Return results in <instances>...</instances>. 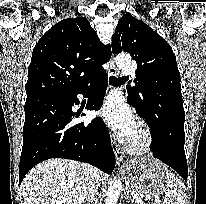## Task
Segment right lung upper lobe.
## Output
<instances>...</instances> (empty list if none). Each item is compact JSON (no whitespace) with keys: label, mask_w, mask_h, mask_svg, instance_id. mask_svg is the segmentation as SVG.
I'll return each mask as SVG.
<instances>
[{"label":"right lung upper lobe","mask_w":206,"mask_h":204,"mask_svg":"<svg viewBox=\"0 0 206 204\" xmlns=\"http://www.w3.org/2000/svg\"><path fill=\"white\" fill-rule=\"evenodd\" d=\"M111 57L84 17L52 26L36 43L28 67L27 97L46 92H72L87 85Z\"/></svg>","instance_id":"right-lung-upper-lobe-1"}]
</instances>
